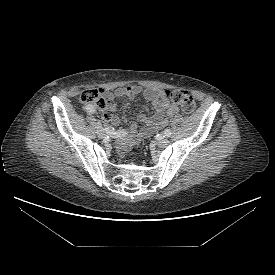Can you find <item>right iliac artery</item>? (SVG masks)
Segmentation results:
<instances>
[{"label":"right iliac artery","instance_id":"obj_1","mask_svg":"<svg viewBox=\"0 0 275 275\" xmlns=\"http://www.w3.org/2000/svg\"><path fill=\"white\" fill-rule=\"evenodd\" d=\"M85 110L88 113H95L96 112L95 108L91 105L86 106ZM105 130H106L107 134H109L110 136L115 137V138H120V137H123L127 134L125 130L115 131L114 129H111V128H106Z\"/></svg>","mask_w":275,"mask_h":275}]
</instances>
